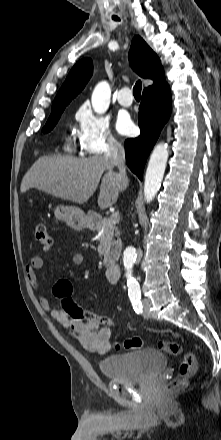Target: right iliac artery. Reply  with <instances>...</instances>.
Segmentation results:
<instances>
[{
  "instance_id": "right-iliac-artery-1",
  "label": "right iliac artery",
  "mask_w": 221,
  "mask_h": 440,
  "mask_svg": "<svg viewBox=\"0 0 221 440\" xmlns=\"http://www.w3.org/2000/svg\"><path fill=\"white\" fill-rule=\"evenodd\" d=\"M131 302L135 312L138 314L142 313L143 310H142V303L140 301V297H132Z\"/></svg>"
}]
</instances>
